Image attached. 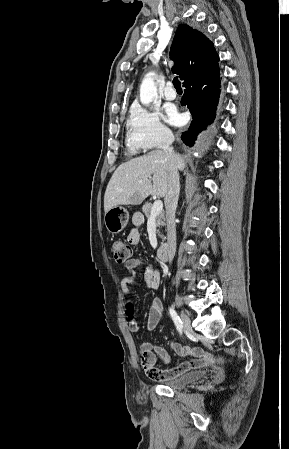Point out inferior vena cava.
I'll list each match as a JSON object with an SVG mask.
<instances>
[{"instance_id": "602c4592", "label": "inferior vena cava", "mask_w": 289, "mask_h": 449, "mask_svg": "<svg viewBox=\"0 0 289 449\" xmlns=\"http://www.w3.org/2000/svg\"><path fill=\"white\" fill-rule=\"evenodd\" d=\"M173 142L174 136L172 133H169L163 138L160 144V149H162L170 159L168 191L165 196L166 221H167V250L170 263L173 260L176 251L175 212L180 192L179 174L174 160V151L173 148L171 147Z\"/></svg>"}]
</instances>
